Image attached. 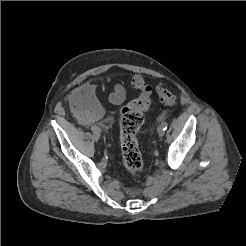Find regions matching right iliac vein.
<instances>
[{"instance_id":"obj_1","label":"right iliac vein","mask_w":246,"mask_h":246,"mask_svg":"<svg viewBox=\"0 0 246 246\" xmlns=\"http://www.w3.org/2000/svg\"><path fill=\"white\" fill-rule=\"evenodd\" d=\"M93 138L95 141H98L100 139V132H94Z\"/></svg>"}]
</instances>
